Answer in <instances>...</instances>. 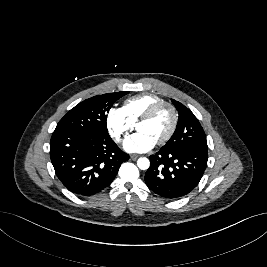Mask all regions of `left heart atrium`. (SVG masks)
Here are the masks:
<instances>
[{
    "label": "left heart atrium",
    "mask_w": 267,
    "mask_h": 267,
    "mask_svg": "<svg viewBox=\"0 0 267 267\" xmlns=\"http://www.w3.org/2000/svg\"><path fill=\"white\" fill-rule=\"evenodd\" d=\"M157 141L144 132H137L129 136L123 143L127 152L143 153L151 150Z\"/></svg>",
    "instance_id": "obj_1"
}]
</instances>
